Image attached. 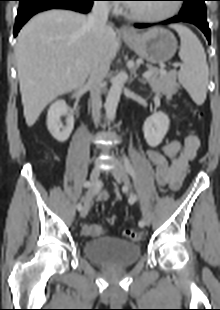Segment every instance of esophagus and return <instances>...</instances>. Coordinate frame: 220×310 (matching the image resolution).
Listing matches in <instances>:
<instances>
[{"mask_svg":"<svg viewBox=\"0 0 220 310\" xmlns=\"http://www.w3.org/2000/svg\"><path fill=\"white\" fill-rule=\"evenodd\" d=\"M118 33L122 36H130L133 35V30L126 25H122L118 29Z\"/></svg>","mask_w":220,"mask_h":310,"instance_id":"obj_1","label":"esophagus"}]
</instances>
